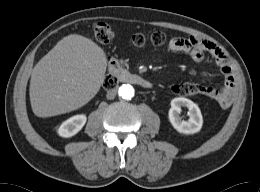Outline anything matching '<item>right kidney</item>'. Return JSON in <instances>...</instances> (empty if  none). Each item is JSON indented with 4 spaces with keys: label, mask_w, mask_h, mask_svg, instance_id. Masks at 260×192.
Here are the masks:
<instances>
[{
    "label": "right kidney",
    "mask_w": 260,
    "mask_h": 192,
    "mask_svg": "<svg viewBox=\"0 0 260 192\" xmlns=\"http://www.w3.org/2000/svg\"><path fill=\"white\" fill-rule=\"evenodd\" d=\"M87 117L84 114H78L64 121L58 128V134L61 137H72L77 134L85 125Z\"/></svg>",
    "instance_id": "obj_1"
}]
</instances>
